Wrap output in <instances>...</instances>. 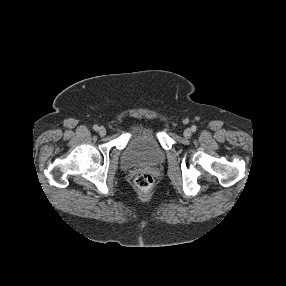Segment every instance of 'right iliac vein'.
<instances>
[{"instance_id": "63e3f726", "label": "right iliac vein", "mask_w": 286, "mask_h": 286, "mask_svg": "<svg viewBox=\"0 0 286 286\" xmlns=\"http://www.w3.org/2000/svg\"><path fill=\"white\" fill-rule=\"evenodd\" d=\"M98 133H99L100 136H105V134H106V129L101 126V127H99V129H98Z\"/></svg>"}]
</instances>
